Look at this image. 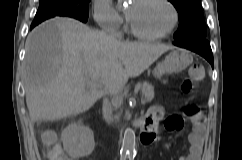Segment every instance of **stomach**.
Here are the masks:
<instances>
[{"label":"stomach","instance_id":"1","mask_svg":"<svg viewBox=\"0 0 242 160\" xmlns=\"http://www.w3.org/2000/svg\"><path fill=\"white\" fill-rule=\"evenodd\" d=\"M193 61L189 51L185 49H175L160 62L154 69L156 78H161L165 73H178L186 69Z\"/></svg>","mask_w":242,"mask_h":160}]
</instances>
